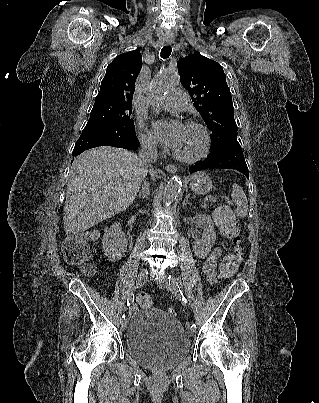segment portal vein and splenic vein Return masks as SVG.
Wrapping results in <instances>:
<instances>
[{"instance_id": "1", "label": "portal vein and splenic vein", "mask_w": 319, "mask_h": 403, "mask_svg": "<svg viewBox=\"0 0 319 403\" xmlns=\"http://www.w3.org/2000/svg\"><path fill=\"white\" fill-rule=\"evenodd\" d=\"M208 199H210L211 201H216V199L214 197H210V198H205L204 201H207Z\"/></svg>"}]
</instances>
